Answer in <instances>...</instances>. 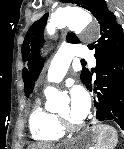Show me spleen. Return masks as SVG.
<instances>
[{"mask_svg": "<svg viewBox=\"0 0 124 149\" xmlns=\"http://www.w3.org/2000/svg\"><path fill=\"white\" fill-rule=\"evenodd\" d=\"M97 132V149H114L117 144V133L108 125L95 126Z\"/></svg>", "mask_w": 124, "mask_h": 149, "instance_id": "obj_1", "label": "spleen"}]
</instances>
